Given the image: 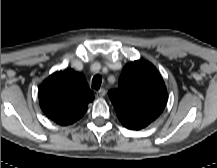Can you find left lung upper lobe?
I'll return each instance as SVG.
<instances>
[{
  "label": "left lung upper lobe",
  "mask_w": 217,
  "mask_h": 168,
  "mask_svg": "<svg viewBox=\"0 0 217 168\" xmlns=\"http://www.w3.org/2000/svg\"><path fill=\"white\" fill-rule=\"evenodd\" d=\"M110 100L122 125L140 130L156 120L167 102L165 83L154 65L145 60L127 63Z\"/></svg>",
  "instance_id": "1"
}]
</instances>
